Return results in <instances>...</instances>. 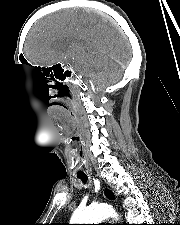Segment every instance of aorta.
Returning <instances> with one entry per match:
<instances>
[{"label": "aorta", "mask_w": 180, "mask_h": 225, "mask_svg": "<svg viewBox=\"0 0 180 225\" xmlns=\"http://www.w3.org/2000/svg\"><path fill=\"white\" fill-rule=\"evenodd\" d=\"M108 217H117L114 210L108 205H90L78 208L71 217V224H97Z\"/></svg>", "instance_id": "aorta-1"}]
</instances>
